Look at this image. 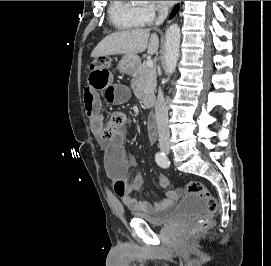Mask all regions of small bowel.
Returning a JSON list of instances; mask_svg holds the SVG:
<instances>
[{
  "instance_id": "small-bowel-1",
  "label": "small bowel",
  "mask_w": 271,
  "mask_h": 266,
  "mask_svg": "<svg viewBox=\"0 0 271 266\" xmlns=\"http://www.w3.org/2000/svg\"><path fill=\"white\" fill-rule=\"evenodd\" d=\"M114 74L110 68H90L87 86L84 90V108L89 120L90 129L96 139L110 145L105 159V171L114 193L121 198L122 203L137 212L152 213L165 210L177 199L175 191H168L160 202H148L133 197V193L144 185L142 175L127 177L129 161L126 159L121 140L123 129L127 124L125 114L115 112L105 123L101 113L102 92L111 103H121L128 99L129 91L126 86L114 83ZM158 181L163 186L169 185V179L158 175Z\"/></svg>"
}]
</instances>
